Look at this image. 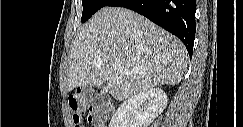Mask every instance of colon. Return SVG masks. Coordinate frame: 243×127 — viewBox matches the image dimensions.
Returning a JSON list of instances; mask_svg holds the SVG:
<instances>
[{"label":"colon","instance_id":"5ec220e1","mask_svg":"<svg viewBox=\"0 0 243 127\" xmlns=\"http://www.w3.org/2000/svg\"><path fill=\"white\" fill-rule=\"evenodd\" d=\"M68 106L75 127H82L85 120L95 127H104L109 118V112L103 105L88 104L80 93L69 95Z\"/></svg>","mask_w":243,"mask_h":127}]
</instances>
